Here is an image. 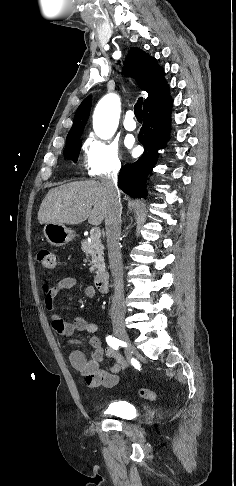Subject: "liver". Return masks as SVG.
Returning a JSON list of instances; mask_svg holds the SVG:
<instances>
[{
    "label": "liver",
    "mask_w": 236,
    "mask_h": 486,
    "mask_svg": "<svg viewBox=\"0 0 236 486\" xmlns=\"http://www.w3.org/2000/svg\"><path fill=\"white\" fill-rule=\"evenodd\" d=\"M107 209V192L100 182L76 181L47 193L38 211V221L77 225L88 219L90 224L100 225Z\"/></svg>",
    "instance_id": "1"
}]
</instances>
